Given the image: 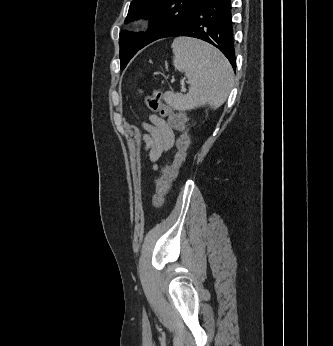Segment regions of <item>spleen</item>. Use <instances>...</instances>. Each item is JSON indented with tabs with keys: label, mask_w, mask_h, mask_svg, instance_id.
<instances>
[{
	"label": "spleen",
	"mask_w": 333,
	"mask_h": 346,
	"mask_svg": "<svg viewBox=\"0 0 333 346\" xmlns=\"http://www.w3.org/2000/svg\"><path fill=\"white\" fill-rule=\"evenodd\" d=\"M173 65L188 78L189 91L167 92L164 100L175 110H190L205 104L221 105L233 88V70L224 55L212 45L179 37L172 43Z\"/></svg>",
	"instance_id": "3e777b00"
}]
</instances>
